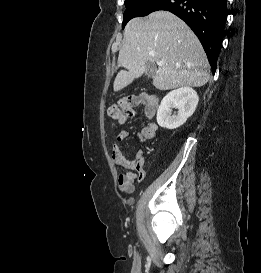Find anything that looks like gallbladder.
Listing matches in <instances>:
<instances>
[{
  "mask_svg": "<svg viewBox=\"0 0 261 273\" xmlns=\"http://www.w3.org/2000/svg\"><path fill=\"white\" fill-rule=\"evenodd\" d=\"M155 70H156V67H155V64H154V63L148 62V63L146 64V71H145V74H146L148 77H154V76H155Z\"/></svg>",
  "mask_w": 261,
  "mask_h": 273,
  "instance_id": "obj_1",
  "label": "gallbladder"
}]
</instances>
